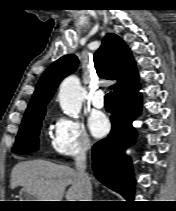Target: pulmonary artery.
<instances>
[{
  "label": "pulmonary artery",
  "instance_id": "1",
  "mask_svg": "<svg viewBox=\"0 0 176 211\" xmlns=\"http://www.w3.org/2000/svg\"><path fill=\"white\" fill-rule=\"evenodd\" d=\"M92 104H93L94 107L99 108V109L104 107L105 100H104L103 90L99 89L94 93V95L92 97Z\"/></svg>",
  "mask_w": 176,
  "mask_h": 211
}]
</instances>
